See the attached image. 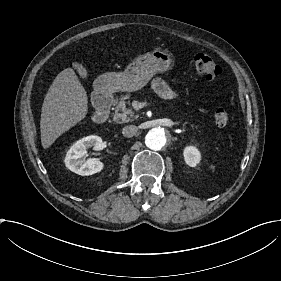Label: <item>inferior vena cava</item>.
Returning <instances> with one entry per match:
<instances>
[{"instance_id":"inferior-vena-cava-1","label":"inferior vena cava","mask_w":281,"mask_h":281,"mask_svg":"<svg viewBox=\"0 0 281 281\" xmlns=\"http://www.w3.org/2000/svg\"><path fill=\"white\" fill-rule=\"evenodd\" d=\"M138 131V127L135 125H129V126H125L123 129V135L126 137H132L134 136Z\"/></svg>"}]
</instances>
